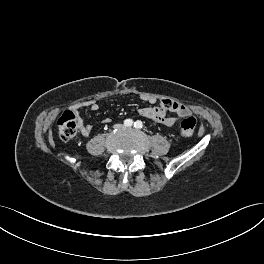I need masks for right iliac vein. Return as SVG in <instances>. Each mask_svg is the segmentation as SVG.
Instances as JSON below:
<instances>
[{
    "label": "right iliac vein",
    "mask_w": 264,
    "mask_h": 264,
    "mask_svg": "<svg viewBox=\"0 0 264 264\" xmlns=\"http://www.w3.org/2000/svg\"><path fill=\"white\" fill-rule=\"evenodd\" d=\"M115 128H116V129H121V128H122V125H121V124H116V125H115Z\"/></svg>",
    "instance_id": "right-iliac-vein-1"
}]
</instances>
